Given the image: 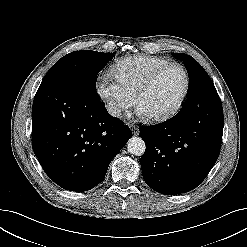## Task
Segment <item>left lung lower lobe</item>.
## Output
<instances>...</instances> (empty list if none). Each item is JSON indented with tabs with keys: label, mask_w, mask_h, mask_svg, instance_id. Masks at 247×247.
Masks as SVG:
<instances>
[{
	"label": "left lung lower lobe",
	"mask_w": 247,
	"mask_h": 247,
	"mask_svg": "<svg viewBox=\"0 0 247 247\" xmlns=\"http://www.w3.org/2000/svg\"><path fill=\"white\" fill-rule=\"evenodd\" d=\"M223 126L221 100L210 83L169 120L141 126L146 150L140 163L146 184L165 195L200 185L219 156Z\"/></svg>",
	"instance_id": "0a47b994"
}]
</instances>
